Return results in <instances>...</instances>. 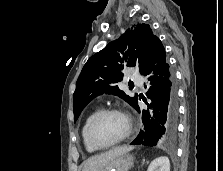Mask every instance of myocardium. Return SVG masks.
I'll return each instance as SVG.
<instances>
[{
    "instance_id": "f54148a6",
    "label": "myocardium",
    "mask_w": 223,
    "mask_h": 171,
    "mask_svg": "<svg viewBox=\"0 0 223 171\" xmlns=\"http://www.w3.org/2000/svg\"><path fill=\"white\" fill-rule=\"evenodd\" d=\"M109 114H117V115L122 116L125 119L126 132L124 133L122 137H120L117 141L113 143L101 144L94 138V134H93L94 127L102 117ZM132 130H133L132 119L125 111L119 108H106V109L100 110L89 122L88 127H87V137L93 147L97 149H108L125 141L131 135Z\"/></svg>"
}]
</instances>
